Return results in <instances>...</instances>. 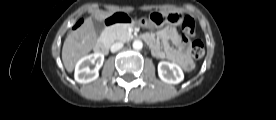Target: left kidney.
<instances>
[{
  "label": "left kidney",
  "mask_w": 276,
  "mask_h": 120,
  "mask_svg": "<svg viewBox=\"0 0 276 120\" xmlns=\"http://www.w3.org/2000/svg\"><path fill=\"white\" fill-rule=\"evenodd\" d=\"M158 75L163 82L169 84H178L184 79L182 69L177 64L167 61L159 62Z\"/></svg>",
  "instance_id": "left-kidney-1"
}]
</instances>
